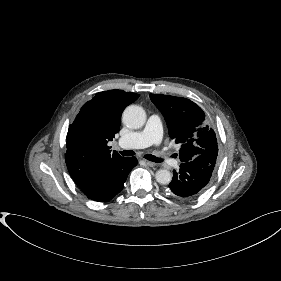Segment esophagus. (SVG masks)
Instances as JSON below:
<instances>
[{
    "label": "esophagus",
    "mask_w": 281,
    "mask_h": 281,
    "mask_svg": "<svg viewBox=\"0 0 281 281\" xmlns=\"http://www.w3.org/2000/svg\"><path fill=\"white\" fill-rule=\"evenodd\" d=\"M144 163L147 165V166H150V167H154L156 164L154 162H151V161H148V160H144Z\"/></svg>",
    "instance_id": "esophagus-1"
}]
</instances>
